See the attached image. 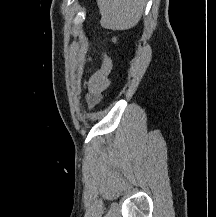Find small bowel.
I'll return each instance as SVG.
<instances>
[{
    "mask_svg": "<svg viewBox=\"0 0 216 217\" xmlns=\"http://www.w3.org/2000/svg\"><path fill=\"white\" fill-rule=\"evenodd\" d=\"M88 62L91 63L92 59L88 58ZM111 68V60L104 54L101 67L85 82L86 99L89 106L93 107L101 101L103 92L109 86Z\"/></svg>",
    "mask_w": 216,
    "mask_h": 217,
    "instance_id": "1",
    "label": "small bowel"
}]
</instances>
